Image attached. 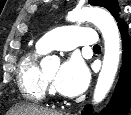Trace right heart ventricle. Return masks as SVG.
<instances>
[{
    "mask_svg": "<svg viewBox=\"0 0 131 115\" xmlns=\"http://www.w3.org/2000/svg\"><path fill=\"white\" fill-rule=\"evenodd\" d=\"M44 53L36 46L24 54L19 61L17 84L23 98L27 101L40 102L45 97L43 73L38 65V60Z\"/></svg>",
    "mask_w": 131,
    "mask_h": 115,
    "instance_id": "1",
    "label": "right heart ventricle"
}]
</instances>
